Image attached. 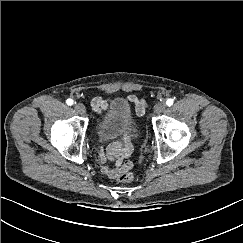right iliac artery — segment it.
I'll use <instances>...</instances> for the list:
<instances>
[{"label": "right iliac artery", "instance_id": "82829eb1", "mask_svg": "<svg viewBox=\"0 0 243 243\" xmlns=\"http://www.w3.org/2000/svg\"><path fill=\"white\" fill-rule=\"evenodd\" d=\"M66 103H67V105H73V100L72 99H67V101H66Z\"/></svg>", "mask_w": 243, "mask_h": 243}]
</instances>
